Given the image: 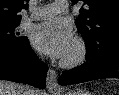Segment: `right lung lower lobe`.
<instances>
[{
	"label": "right lung lower lobe",
	"mask_w": 119,
	"mask_h": 95,
	"mask_svg": "<svg viewBox=\"0 0 119 95\" xmlns=\"http://www.w3.org/2000/svg\"><path fill=\"white\" fill-rule=\"evenodd\" d=\"M48 67L31 49L27 37L21 43L0 46V79L46 87Z\"/></svg>",
	"instance_id": "98d812e1"
}]
</instances>
